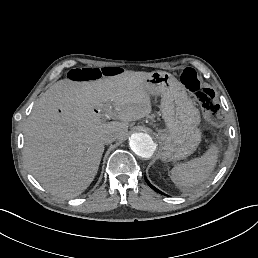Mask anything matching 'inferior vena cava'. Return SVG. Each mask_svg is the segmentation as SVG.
Here are the masks:
<instances>
[{
  "mask_svg": "<svg viewBox=\"0 0 258 258\" xmlns=\"http://www.w3.org/2000/svg\"><path fill=\"white\" fill-rule=\"evenodd\" d=\"M118 138V134L115 132H109L103 135L102 141L104 144H110Z\"/></svg>",
  "mask_w": 258,
  "mask_h": 258,
  "instance_id": "inferior-vena-cava-1",
  "label": "inferior vena cava"
}]
</instances>
